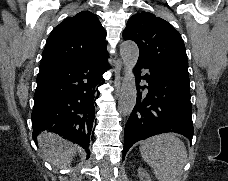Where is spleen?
Segmentation results:
<instances>
[{"instance_id":"obj_1","label":"spleen","mask_w":228,"mask_h":181,"mask_svg":"<svg viewBox=\"0 0 228 181\" xmlns=\"http://www.w3.org/2000/svg\"><path fill=\"white\" fill-rule=\"evenodd\" d=\"M140 153L158 181H176L187 161V149L173 133L141 141Z\"/></svg>"}]
</instances>
